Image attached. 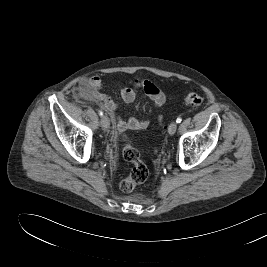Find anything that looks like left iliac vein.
Masks as SVG:
<instances>
[{"mask_svg": "<svg viewBox=\"0 0 267 267\" xmlns=\"http://www.w3.org/2000/svg\"><path fill=\"white\" fill-rule=\"evenodd\" d=\"M176 130H177V123L176 122H172L168 127V133L170 135H174Z\"/></svg>", "mask_w": 267, "mask_h": 267, "instance_id": "1", "label": "left iliac vein"}]
</instances>
